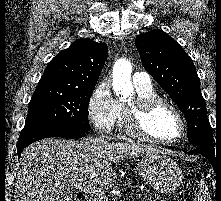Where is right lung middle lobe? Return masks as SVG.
Instances as JSON below:
<instances>
[{
    "instance_id": "obj_1",
    "label": "right lung middle lobe",
    "mask_w": 221,
    "mask_h": 201,
    "mask_svg": "<svg viewBox=\"0 0 221 201\" xmlns=\"http://www.w3.org/2000/svg\"><path fill=\"white\" fill-rule=\"evenodd\" d=\"M92 92L36 89L29 103L24 129L56 125L88 132V105Z\"/></svg>"
}]
</instances>
